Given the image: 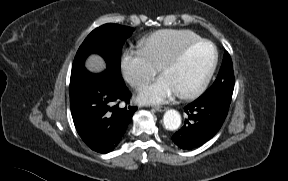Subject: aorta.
I'll list each match as a JSON object with an SVG mask.
<instances>
[{
    "label": "aorta",
    "mask_w": 288,
    "mask_h": 181,
    "mask_svg": "<svg viewBox=\"0 0 288 181\" xmlns=\"http://www.w3.org/2000/svg\"><path fill=\"white\" fill-rule=\"evenodd\" d=\"M163 123L166 129L174 131L181 125V116L178 111L174 109L167 110L163 117Z\"/></svg>",
    "instance_id": "762f6f07"
}]
</instances>
